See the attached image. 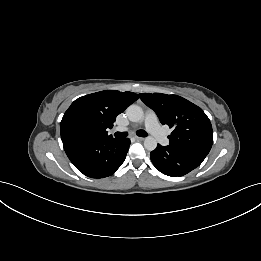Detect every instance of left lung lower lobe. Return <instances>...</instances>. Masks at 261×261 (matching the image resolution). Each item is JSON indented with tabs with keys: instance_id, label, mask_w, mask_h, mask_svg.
Returning <instances> with one entry per match:
<instances>
[{
	"instance_id": "obj_1",
	"label": "left lung lower lobe",
	"mask_w": 261,
	"mask_h": 261,
	"mask_svg": "<svg viewBox=\"0 0 261 261\" xmlns=\"http://www.w3.org/2000/svg\"><path fill=\"white\" fill-rule=\"evenodd\" d=\"M206 155L192 149L170 145L161 146L158 144L157 148L150 153V158L153 165L161 173L172 177H179L198 167Z\"/></svg>"
}]
</instances>
